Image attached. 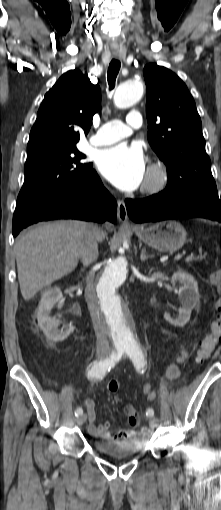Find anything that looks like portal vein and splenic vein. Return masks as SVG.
I'll list each match as a JSON object with an SVG mask.
<instances>
[{"label": "portal vein and splenic vein", "instance_id": "obj_1", "mask_svg": "<svg viewBox=\"0 0 221 510\" xmlns=\"http://www.w3.org/2000/svg\"><path fill=\"white\" fill-rule=\"evenodd\" d=\"M180 258H181V255H177V256L175 257V260H178V259H180ZM193 258H194V257H193V255H190V256H187L185 260H186V261H192V260H193Z\"/></svg>", "mask_w": 221, "mask_h": 510}]
</instances>
